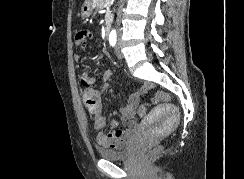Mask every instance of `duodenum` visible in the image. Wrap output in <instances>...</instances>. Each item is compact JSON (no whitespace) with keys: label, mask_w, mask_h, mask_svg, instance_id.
Masks as SVG:
<instances>
[{"label":"duodenum","mask_w":244,"mask_h":179,"mask_svg":"<svg viewBox=\"0 0 244 179\" xmlns=\"http://www.w3.org/2000/svg\"><path fill=\"white\" fill-rule=\"evenodd\" d=\"M110 25H111V22H110L109 18H107L104 21V26H103V31H104V34L105 35H108L109 34V32H110Z\"/></svg>","instance_id":"1"}]
</instances>
